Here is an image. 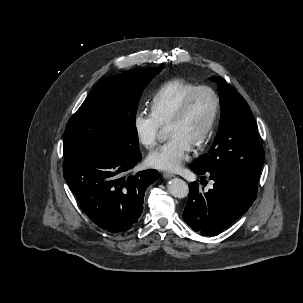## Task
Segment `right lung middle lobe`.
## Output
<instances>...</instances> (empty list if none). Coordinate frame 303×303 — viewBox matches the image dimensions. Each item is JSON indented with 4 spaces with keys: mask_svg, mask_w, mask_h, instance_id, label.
Instances as JSON below:
<instances>
[{
    "mask_svg": "<svg viewBox=\"0 0 303 303\" xmlns=\"http://www.w3.org/2000/svg\"><path fill=\"white\" fill-rule=\"evenodd\" d=\"M159 72L158 67L134 69L100 81L67 123L63 156L91 143L128 158L141 156L135 115L144 86Z\"/></svg>",
    "mask_w": 303,
    "mask_h": 303,
    "instance_id": "right-lung-middle-lobe-1",
    "label": "right lung middle lobe"
}]
</instances>
